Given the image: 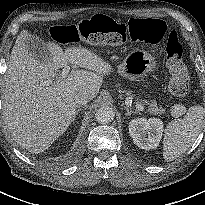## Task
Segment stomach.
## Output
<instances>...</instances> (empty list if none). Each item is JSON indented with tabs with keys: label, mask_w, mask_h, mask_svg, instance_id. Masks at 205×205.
I'll return each instance as SVG.
<instances>
[{
	"label": "stomach",
	"mask_w": 205,
	"mask_h": 205,
	"mask_svg": "<svg viewBox=\"0 0 205 205\" xmlns=\"http://www.w3.org/2000/svg\"><path fill=\"white\" fill-rule=\"evenodd\" d=\"M156 68L157 63L153 55L145 50L135 49L118 66V72L123 77L134 80L153 72Z\"/></svg>",
	"instance_id": "0dacf381"
}]
</instances>
